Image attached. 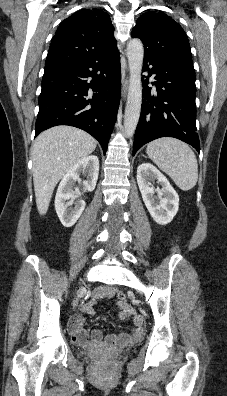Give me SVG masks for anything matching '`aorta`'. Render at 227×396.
Returning <instances> with one entry per match:
<instances>
[{"mask_svg":"<svg viewBox=\"0 0 227 396\" xmlns=\"http://www.w3.org/2000/svg\"><path fill=\"white\" fill-rule=\"evenodd\" d=\"M143 57L144 48L142 42L137 38L131 39L127 44L130 78L124 115V132L127 137L133 136L140 117L142 104L141 72Z\"/></svg>","mask_w":227,"mask_h":396,"instance_id":"obj_1","label":"aorta"}]
</instances>
